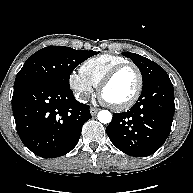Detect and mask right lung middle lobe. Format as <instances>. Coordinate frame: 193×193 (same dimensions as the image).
<instances>
[{"label":"right lung middle lobe","instance_id":"obj_1","mask_svg":"<svg viewBox=\"0 0 193 193\" xmlns=\"http://www.w3.org/2000/svg\"><path fill=\"white\" fill-rule=\"evenodd\" d=\"M98 53L64 46L45 47L26 60L16 76L14 87L33 81H46L69 88L71 72Z\"/></svg>","mask_w":193,"mask_h":193}]
</instances>
